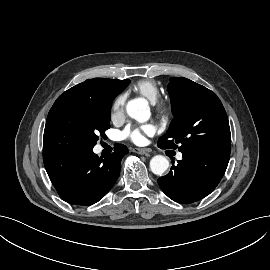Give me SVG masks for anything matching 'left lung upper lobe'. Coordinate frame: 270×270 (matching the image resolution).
<instances>
[{
    "mask_svg": "<svg viewBox=\"0 0 270 270\" xmlns=\"http://www.w3.org/2000/svg\"><path fill=\"white\" fill-rule=\"evenodd\" d=\"M172 120L169 130L158 141L161 148L179 151L215 150L230 153L228 117L217 95L187 78L170 79Z\"/></svg>",
    "mask_w": 270,
    "mask_h": 270,
    "instance_id": "1",
    "label": "left lung upper lobe"
}]
</instances>
